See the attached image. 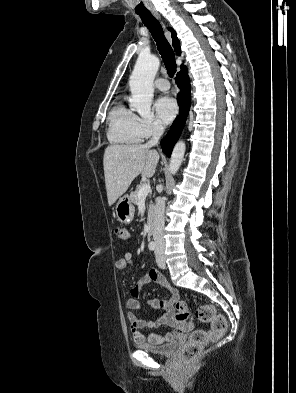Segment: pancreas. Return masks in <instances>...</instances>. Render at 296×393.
<instances>
[{
  "label": "pancreas",
  "mask_w": 296,
  "mask_h": 393,
  "mask_svg": "<svg viewBox=\"0 0 296 393\" xmlns=\"http://www.w3.org/2000/svg\"><path fill=\"white\" fill-rule=\"evenodd\" d=\"M144 184L138 185L135 189V191H133L130 195V199L131 201L135 204L138 205L139 204V198H138V193L141 190V188L143 187ZM153 214V206H152V202L150 201V205H149V209H148V220L151 219Z\"/></svg>",
  "instance_id": "cf45deb5"
}]
</instances>
